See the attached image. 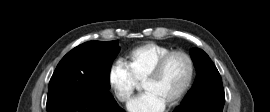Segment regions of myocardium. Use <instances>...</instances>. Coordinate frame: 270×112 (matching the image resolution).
<instances>
[{
  "label": "myocardium",
  "instance_id": "f54148a6",
  "mask_svg": "<svg viewBox=\"0 0 270 112\" xmlns=\"http://www.w3.org/2000/svg\"><path fill=\"white\" fill-rule=\"evenodd\" d=\"M176 55L183 56L187 60L188 65H189V75H188V78L184 87L179 92V94L167 104L168 107H173L175 105H178L186 97V95L188 94V92L190 91L193 85L196 69H195L194 60L191 57V55L183 50H172L168 52L167 54H165L158 60L154 68L151 70V72L147 75L146 79L144 80V84H145L147 82L158 79L160 75L162 74L168 61Z\"/></svg>",
  "mask_w": 270,
  "mask_h": 112
}]
</instances>
